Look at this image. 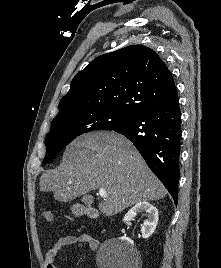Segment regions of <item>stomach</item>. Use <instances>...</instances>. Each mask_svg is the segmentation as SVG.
I'll return each instance as SVG.
<instances>
[{
  "mask_svg": "<svg viewBox=\"0 0 221 268\" xmlns=\"http://www.w3.org/2000/svg\"><path fill=\"white\" fill-rule=\"evenodd\" d=\"M72 212L76 215H80L81 211L77 210L75 207L72 208Z\"/></svg>",
  "mask_w": 221,
  "mask_h": 268,
  "instance_id": "0dacf381",
  "label": "stomach"
}]
</instances>
